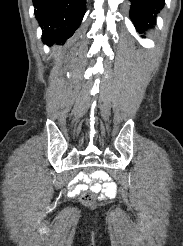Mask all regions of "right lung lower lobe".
<instances>
[{
  "label": "right lung lower lobe",
  "mask_w": 183,
  "mask_h": 246,
  "mask_svg": "<svg viewBox=\"0 0 183 246\" xmlns=\"http://www.w3.org/2000/svg\"><path fill=\"white\" fill-rule=\"evenodd\" d=\"M33 5L43 43L64 44L80 25L86 0H33Z\"/></svg>",
  "instance_id": "98d812e1"
}]
</instances>
